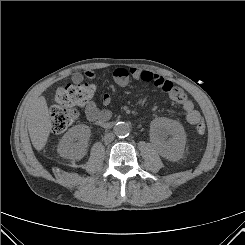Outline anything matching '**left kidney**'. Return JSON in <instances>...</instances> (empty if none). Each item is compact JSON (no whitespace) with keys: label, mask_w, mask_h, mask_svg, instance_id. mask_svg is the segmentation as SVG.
<instances>
[{"label":"left kidney","mask_w":245,"mask_h":245,"mask_svg":"<svg viewBox=\"0 0 245 245\" xmlns=\"http://www.w3.org/2000/svg\"><path fill=\"white\" fill-rule=\"evenodd\" d=\"M151 134L162 156L177 159L183 153L186 133L179 122L166 118L156 119L151 123Z\"/></svg>","instance_id":"obj_1"}]
</instances>
